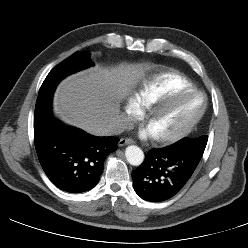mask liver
<instances>
[{"mask_svg": "<svg viewBox=\"0 0 248 248\" xmlns=\"http://www.w3.org/2000/svg\"><path fill=\"white\" fill-rule=\"evenodd\" d=\"M138 77L134 65L93 67L64 79L54 95V111L66 123L103 136L120 113V100Z\"/></svg>", "mask_w": 248, "mask_h": 248, "instance_id": "liver-1", "label": "liver"}]
</instances>
